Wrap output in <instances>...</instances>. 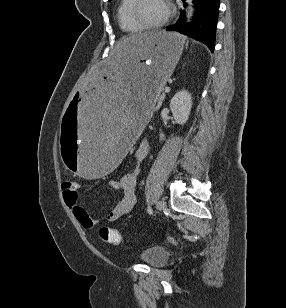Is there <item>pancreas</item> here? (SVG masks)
I'll return each mask as SVG.
<instances>
[{
    "instance_id": "cf45deb5",
    "label": "pancreas",
    "mask_w": 286,
    "mask_h": 308,
    "mask_svg": "<svg viewBox=\"0 0 286 308\" xmlns=\"http://www.w3.org/2000/svg\"><path fill=\"white\" fill-rule=\"evenodd\" d=\"M164 97H165V94L160 92L158 97H157L158 104L156 106V109H158L160 107Z\"/></svg>"
}]
</instances>
